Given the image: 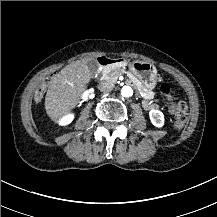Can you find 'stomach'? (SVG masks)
<instances>
[{"label": "stomach", "mask_w": 217, "mask_h": 217, "mask_svg": "<svg viewBox=\"0 0 217 217\" xmlns=\"http://www.w3.org/2000/svg\"><path fill=\"white\" fill-rule=\"evenodd\" d=\"M130 68L135 77L140 80L144 87L153 90L158 82V73L156 67L145 61H134Z\"/></svg>", "instance_id": "1"}]
</instances>
